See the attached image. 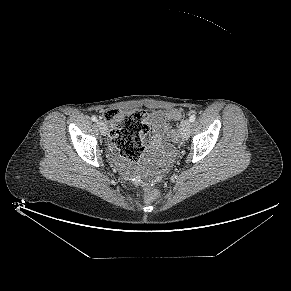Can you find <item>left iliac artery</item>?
Here are the masks:
<instances>
[{"mask_svg":"<svg viewBox=\"0 0 291 291\" xmlns=\"http://www.w3.org/2000/svg\"><path fill=\"white\" fill-rule=\"evenodd\" d=\"M195 119H196V116H195V115H191V116L189 117V121H190V122H194Z\"/></svg>","mask_w":291,"mask_h":291,"instance_id":"44dca946","label":"left iliac artery"}]
</instances>
